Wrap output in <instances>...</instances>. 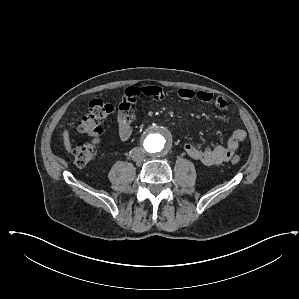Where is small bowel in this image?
Here are the masks:
<instances>
[{
  "instance_id": "1",
  "label": "small bowel",
  "mask_w": 299,
  "mask_h": 299,
  "mask_svg": "<svg viewBox=\"0 0 299 299\" xmlns=\"http://www.w3.org/2000/svg\"><path fill=\"white\" fill-rule=\"evenodd\" d=\"M177 95L182 100H191L197 98L205 104H213L219 111L227 110V101L221 96H213L207 91H197L190 88H180ZM165 97V93L158 86L129 87L117 100L116 137L120 142L128 141L133 134L132 124L136 116V100L146 98L148 100L158 101ZM247 138V132L243 129H236L232 132L226 146H205L185 144L183 149L185 153L195 161L205 166H218L223 162L230 160L240 144Z\"/></svg>"
}]
</instances>
